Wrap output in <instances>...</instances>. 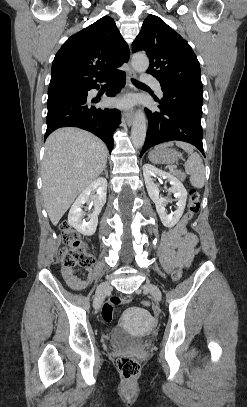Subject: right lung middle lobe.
Here are the masks:
<instances>
[{"label":"right lung middle lobe","instance_id":"obj_1","mask_svg":"<svg viewBox=\"0 0 247 407\" xmlns=\"http://www.w3.org/2000/svg\"><path fill=\"white\" fill-rule=\"evenodd\" d=\"M89 87L74 86V87H62L48 90L47 105L73 98H85L87 97Z\"/></svg>","mask_w":247,"mask_h":407}]
</instances>
